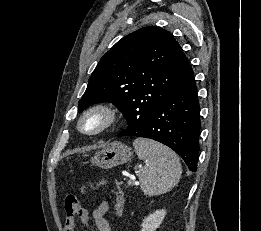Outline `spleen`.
I'll return each mask as SVG.
<instances>
[{"label":"spleen","mask_w":261,"mask_h":231,"mask_svg":"<svg viewBox=\"0 0 261 231\" xmlns=\"http://www.w3.org/2000/svg\"><path fill=\"white\" fill-rule=\"evenodd\" d=\"M133 146L139 159L144 162L138 177L145 195L164 194L178 184L182 168L172 150L146 138L135 139Z\"/></svg>","instance_id":"1"}]
</instances>
